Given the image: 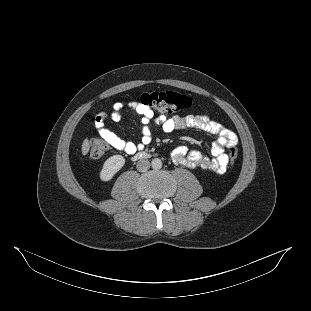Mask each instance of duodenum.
Returning <instances> with one entry per match:
<instances>
[{
	"instance_id": "410a0bca",
	"label": "duodenum",
	"mask_w": 311,
	"mask_h": 311,
	"mask_svg": "<svg viewBox=\"0 0 311 311\" xmlns=\"http://www.w3.org/2000/svg\"><path fill=\"white\" fill-rule=\"evenodd\" d=\"M146 153H139L138 155H137V158H141V157H146Z\"/></svg>"
}]
</instances>
